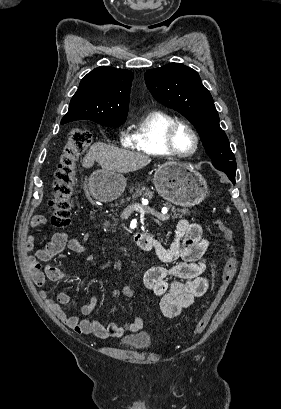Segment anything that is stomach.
Here are the masks:
<instances>
[{
    "instance_id": "obj_1",
    "label": "stomach",
    "mask_w": 281,
    "mask_h": 409,
    "mask_svg": "<svg viewBox=\"0 0 281 409\" xmlns=\"http://www.w3.org/2000/svg\"><path fill=\"white\" fill-rule=\"evenodd\" d=\"M153 182L160 196L180 207L199 205L208 192L205 178L187 162H163L156 168ZM125 186V176L114 170H94L89 176V192L100 202L115 200Z\"/></svg>"
}]
</instances>
